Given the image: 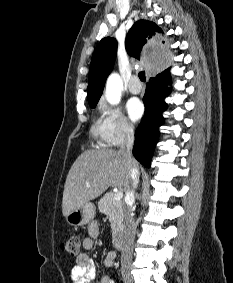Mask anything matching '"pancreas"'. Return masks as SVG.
<instances>
[{
  "label": "pancreas",
  "instance_id": "1",
  "mask_svg": "<svg viewBox=\"0 0 233 283\" xmlns=\"http://www.w3.org/2000/svg\"><path fill=\"white\" fill-rule=\"evenodd\" d=\"M114 193L105 194L98 203L99 211L108 216L112 234L120 232L123 221V202L114 200Z\"/></svg>",
  "mask_w": 233,
  "mask_h": 283
}]
</instances>
